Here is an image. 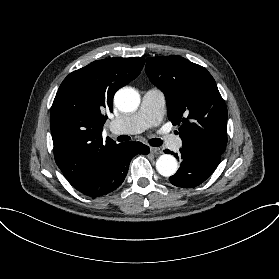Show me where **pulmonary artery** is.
Here are the masks:
<instances>
[{"mask_svg":"<svg viewBox=\"0 0 279 279\" xmlns=\"http://www.w3.org/2000/svg\"><path fill=\"white\" fill-rule=\"evenodd\" d=\"M165 94L162 89L153 87L147 90L136 115H118L112 121V130L118 136H136L142 130L157 125L164 113ZM159 140L168 146L176 143V138L168 132H162Z\"/></svg>","mask_w":279,"mask_h":279,"instance_id":"pulmonary-artery-1","label":"pulmonary artery"}]
</instances>
